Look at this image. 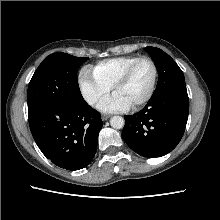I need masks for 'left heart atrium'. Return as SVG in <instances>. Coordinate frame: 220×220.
<instances>
[{"label": "left heart atrium", "mask_w": 220, "mask_h": 220, "mask_svg": "<svg viewBox=\"0 0 220 220\" xmlns=\"http://www.w3.org/2000/svg\"><path fill=\"white\" fill-rule=\"evenodd\" d=\"M130 107V104L116 93L105 98L98 106L101 111L108 113L126 111Z\"/></svg>", "instance_id": "left-heart-atrium-1"}]
</instances>
